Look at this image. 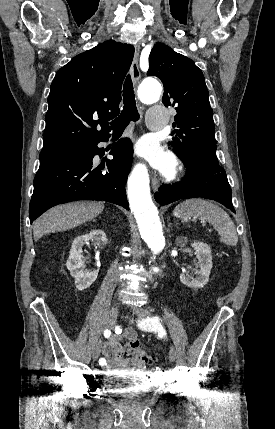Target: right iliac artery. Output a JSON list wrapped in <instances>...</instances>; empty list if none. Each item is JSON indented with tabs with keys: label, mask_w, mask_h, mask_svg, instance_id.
Instances as JSON below:
<instances>
[{
	"label": "right iliac artery",
	"mask_w": 275,
	"mask_h": 429,
	"mask_svg": "<svg viewBox=\"0 0 275 429\" xmlns=\"http://www.w3.org/2000/svg\"><path fill=\"white\" fill-rule=\"evenodd\" d=\"M104 336H105L106 338H109V337L111 336V331H110L109 329H105V330H104ZM99 365H101V366L106 365V360H105V358H100V359H99Z\"/></svg>",
	"instance_id": "1"
}]
</instances>
